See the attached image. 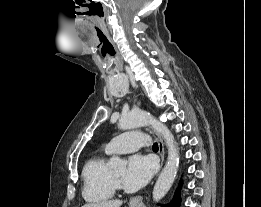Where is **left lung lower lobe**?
Instances as JSON below:
<instances>
[{
  "instance_id": "1",
  "label": "left lung lower lobe",
  "mask_w": 261,
  "mask_h": 207,
  "mask_svg": "<svg viewBox=\"0 0 261 207\" xmlns=\"http://www.w3.org/2000/svg\"><path fill=\"white\" fill-rule=\"evenodd\" d=\"M179 192H180V184H179L178 188L176 189V192H175V195H174L172 201L167 205L168 207H180Z\"/></svg>"
}]
</instances>
